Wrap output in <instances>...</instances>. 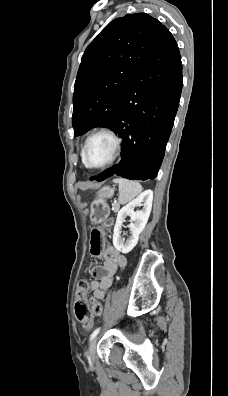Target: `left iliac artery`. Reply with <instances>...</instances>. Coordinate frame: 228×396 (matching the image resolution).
Segmentation results:
<instances>
[{"label": "left iliac artery", "mask_w": 228, "mask_h": 396, "mask_svg": "<svg viewBox=\"0 0 228 396\" xmlns=\"http://www.w3.org/2000/svg\"><path fill=\"white\" fill-rule=\"evenodd\" d=\"M99 331H100V327H99V328H96V329L92 332V334L90 335V341L93 340V339L96 337V335L99 333Z\"/></svg>", "instance_id": "left-iliac-artery-1"}]
</instances>
